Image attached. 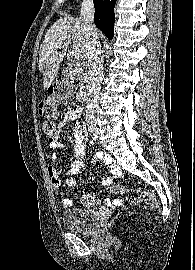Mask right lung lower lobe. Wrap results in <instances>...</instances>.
Masks as SVG:
<instances>
[{"label":"right lung lower lobe","instance_id":"1","mask_svg":"<svg viewBox=\"0 0 195 270\" xmlns=\"http://www.w3.org/2000/svg\"><path fill=\"white\" fill-rule=\"evenodd\" d=\"M115 3L116 0H94V23L109 39L114 35Z\"/></svg>","mask_w":195,"mask_h":270}]
</instances>
